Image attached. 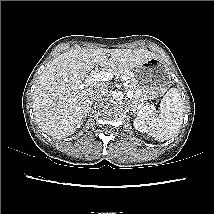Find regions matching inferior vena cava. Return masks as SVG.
<instances>
[{"label": "inferior vena cava", "mask_w": 214, "mask_h": 214, "mask_svg": "<svg viewBox=\"0 0 214 214\" xmlns=\"http://www.w3.org/2000/svg\"><path fill=\"white\" fill-rule=\"evenodd\" d=\"M108 93V87L104 83L95 85L91 88L89 92V97L91 100H97L102 98Z\"/></svg>", "instance_id": "602c4592"}]
</instances>
